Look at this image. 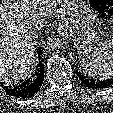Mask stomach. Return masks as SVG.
<instances>
[{
	"instance_id": "0dacf381",
	"label": "stomach",
	"mask_w": 113,
	"mask_h": 113,
	"mask_svg": "<svg viewBox=\"0 0 113 113\" xmlns=\"http://www.w3.org/2000/svg\"><path fill=\"white\" fill-rule=\"evenodd\" d=\"M71 1V14L67 21L70 27V33L75 39L76 48L82 52L85 50H94L99 41L101 33V21L81 0Z\"/></svg>"
}]
</instances>
